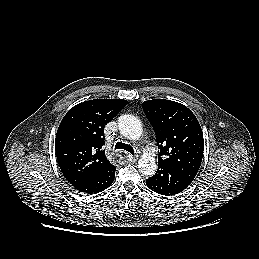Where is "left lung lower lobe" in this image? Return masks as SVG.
Masks as SVG:
<instances>
[{"mask_svg":"<svg viewBox=\"0 0 259 259\" xmlns=\"http://www.w3.org/2000/svg\"><path fill=\"white\" fill-rule=\"evenodd\" d=\"M146 184L154 192L170 196L182 192L190 183L171 169L158 165L157 172L146 180Z\"/></svg>","mask_w":259,"mask_h":259,"instance_id":"obj_1","label":"left lung lower lobe"}]
</instances>
